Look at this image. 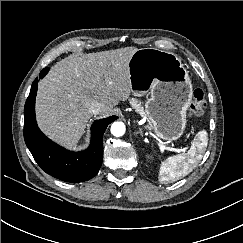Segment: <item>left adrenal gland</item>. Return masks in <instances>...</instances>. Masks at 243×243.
Masks as SVG:
<instances>
[{"label":"left adrenal gland","mask_w":243,"mask_h":243,"mask_svg":"<svg viewBox=\"0 0 243 243\" xmlns=\"http://www.w3.org/2000/svg\"><path fill=\"white\" fill-rule=\"evenodd\" d=\"M134 134L135 135L140 134L141 136H143V133H142V130L141 129H139V131L135 132Z\"/></svg>","instance_id":"a2214340"}]
</instances>
